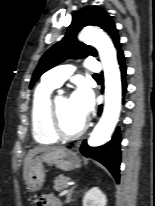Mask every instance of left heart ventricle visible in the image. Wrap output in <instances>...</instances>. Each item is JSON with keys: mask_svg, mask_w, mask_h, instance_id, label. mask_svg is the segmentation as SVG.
<instances>
[{"mask_svg": "<svg viewBox=\"0 0 155 206\" xmlns=\"http://www.w3.org/2000/svg\"><path fill=\"white\" fill-rule=\"evenodd\" d=\"M56 104L60 123L64 130L68 132L77 130L82 125L84 119L76 113L71 104L70 98L59 96L56 98Z\"/></svg>", "mask_w": 155, "mask_h": 206, "instance_id": "left-heart-ventricle-1", "label": "left heart ventricle"}]
</instances>
